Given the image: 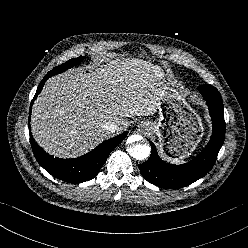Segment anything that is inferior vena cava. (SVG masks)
Returning <instances> with one entry per match:
<instances>
[{"instance_id": "inferior-vena-cava-1", "label": "inferior vena cava", "mask_w": 248, "mask_h": 248, "mask_svg": "<svg viewBox=\"0 0 248 248\" xmlns=\"http://www.w3.org/2000/svg\"><path fill=\"white\" fill-rule=\"evenodd\" d=\"M103 128L109 133H114L117 130L118 126L113 122H106Z\"/></svg>"}]
</instances>
